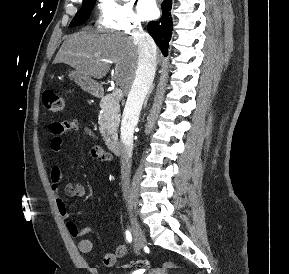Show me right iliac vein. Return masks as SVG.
<instances>
[{
    "label": "right iliac vein",
    "instance_id": "right-iliac-vein-1",
    "mask_svg": "<svg viewBox=\"0 0 289 274\" xmlns=\"http://www.w3.org/2000/svg\"><path fill=\"white\" fill-rule=\"evenodd\" d=\"M131 225L134 238L135 251L138 253L146 243V239L141 226L134 216H131Z\"/></svg>",
    "mask_w": 289,
    "mask_h": 274
}]
</instances>
